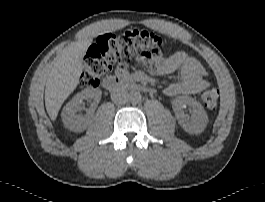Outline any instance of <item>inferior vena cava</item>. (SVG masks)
I'll return each mask as SVG.
<instances>
[{
	"instance_id": "602c4592",
	"label": "inferior vena cava",
	"mask_w": 265,
	"mask_h": 202,
	"mask_svg": "<svg viewBox=\"0 0 265 202\" xmlns=\"http://www.w3.org/2000/svg\"><path fill=\"white\" fill-rule=\"evenodd\" d=\"M129 93L124 87H117L111 93V99L115 104H125L128 101Z\"/></svg>"
}]
</instances>
